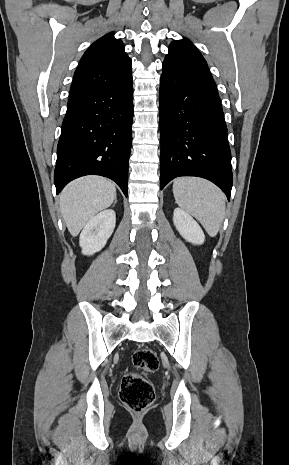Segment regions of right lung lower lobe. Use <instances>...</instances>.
Here are the masks:
<instances>
[{
  "mask_svg": "<svg viewBox=\"0 0 289 465\" xmlns=\"http://www.w3.org/2000/svg\"><path fill=\"white\" fill-rule=\"evenodd\" d=\"M132 74L122 83L69 100L57 146V194L75 178L101 175L127 197L132 144Z\"/></svg>",
  "mask_w": 289,
  "mask_h": 465,
  "instance_id": "obj_1",
  "label": "right lung lower lobe"
}]
</instances>
